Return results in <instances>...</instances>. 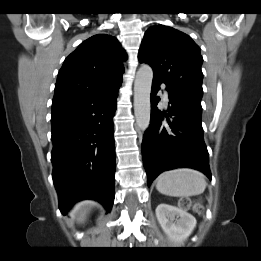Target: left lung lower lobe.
<instances>
[{
    "label": "left lung lower lobe",
    "instance_id": "1",
    "mask_svg": "<svg viewBox=\"0 0 261 261\" xmlns=\"http://www.w3.org/2000/svg\"><path fill=\"white\" fill-rule=\"evenodd\" d=\"M161 83L153 79L150 126L142 142L148 186L161 172L174 168H194L211 178L201 123V100L166 87L170 105L167 113L161 112L157 108L160 98L156 96Z\"/></svg>",
    "mask_w": 261,
    "mask_h": 261
}]
</instances>
